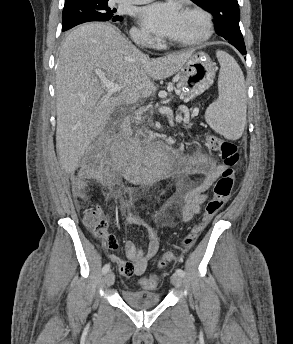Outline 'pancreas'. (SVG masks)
Wrapping results in <instances>:
<instances>
[{
	"label": "pancreas",
	"instance_id": "cf45deb5",
	"mask_svg": "<svg viewBox=\"0 0 293 344\" xmlns=\"http://www.w3.org/2000/svg\"><path fill=\"white\" fill-rule=\"evenodd\" d=\"M176 91H178V90H176ZM186 127H188V128L191 127V123L187 122Z\"/></svg>",
	"mask_w": 293,
	"mask_h": 344
}]
</instances>
